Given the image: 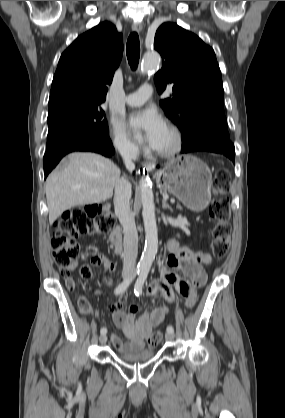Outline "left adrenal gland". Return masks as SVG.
<instances>
[{"label":"left adrenal gland","instance_id":"left-adrenal-gland-1","mask_svg":"<svg viewBox=\"0 0 285 418\" xmlns=\"http://www.w3.org/2000/svg\"><path fill=\"white\" fill-rule=\"evenodd\" d=\"M162 208L163 209H169L170 211H172V208L170 205H168L167 200L163 198L162 200Z\"/></svg>","mask_w":285,"mask_h":418}]
</instances>
